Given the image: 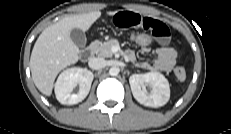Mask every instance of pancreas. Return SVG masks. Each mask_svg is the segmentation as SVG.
Wrapping results in <instances>:
<instances>
[{
	"mask_svg": "<svg viewBox=\"0 0 231 134\" xmlns=\"http://www.w3.org/2000/svg\"><path fill=\"white\" fill-rule=\"evenodd\" d=\"M113 46L119 47L118 40L111 39L107 42L95 41L92 43L91 49L98 56L106 58V57H112L113 52L111 49Z\"/></svg>",
	"mask_w": 231,
	"mask_h": 134,
	"instance_id": "1",
	"label": "pancreas"
}]
</instances>
